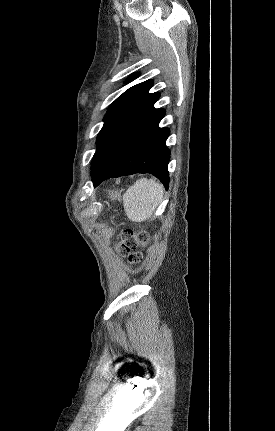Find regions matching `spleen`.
I'll return each instance as SVG.
<instances>
[{
    "instance_id": "1",
    "label": "spleen",
    "mask_w": 275,
    "mask_h": 431,
    "mask_svg": "<svg viewBox=\"0 0 275 431\" xmlns=\"http://www.w3.org/2000/svg\"><path fill=\"white\" fill-rule=\"evenodd\" d=\"M163 186L153 179H139L123 194L128 218L134 222L149 219L162 201Z\"/></svg>"
}]
</instances>
